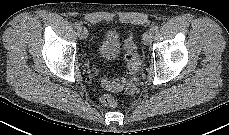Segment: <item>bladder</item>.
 Listing matches in <instances>:
<instances>
[{"label": "bladder", "mask_w": 229, "mask_h": 135, "mask_svg": "<svg viewBox=\"0 0 229 135\" xmlns=\"http://www.w3.org/2000/svg\"><path fill=\"white\" fill-rule=\"evenodd\" d=\"M100 57L107 61H114L119 58L121 47L119 35L115 30H108L104 40L100 43Z\"/></svg>", "instance_id": "1"}]
</instances>
